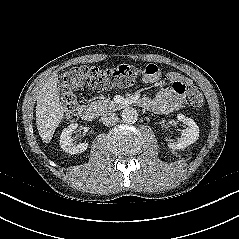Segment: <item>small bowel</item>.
<instances>
[{
	"instance_id": "small-bowel-1",
	"label": "small bowel",
	"mask_w": 239,
	"mask_h": 239,
	"mask_svg": "<svg viewBox=\"0 0 239 239\" xmlns=\"http://www.w3.org/2000/svg\"><path fill=\"white\" fill-rule=\"evenodd\" d=\"M160 78L161 72L155 64H148L145 67L144 81L146 83H156ZM168 79L173 83L172 86L160 91L155 98L148 99V109L156 113H167L181 107L184 101L185 86L190 81L174 73L168 74Z\"/></svg>"
}]
</instances>
